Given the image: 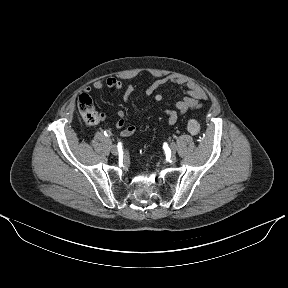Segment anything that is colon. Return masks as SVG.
Instances as JSON below:
<instances>
[{
    "label": "colon",
    "instance_id": "obj_1",
    "mask_svg": "<svg viewBox=\"0 0 288 288\" xmlns=\"http://www.w3.org/2000/svg\"><path fill=\"white\" fill-rule=\"evenodd\" d=\"M78 109L82 118L88 124H97L101 121V114L96 111L92 99L88 94L80 95L78 99ZM187 129L193 135L201 133V126L193 117L188 120Z\"/></svg>",
    "mask_w": 288,
    "mask_h": 288
}]
</instances>
